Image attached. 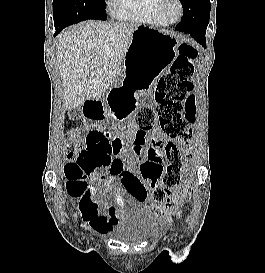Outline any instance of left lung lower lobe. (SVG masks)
Returning <instances> with one entry per match:
<instances>
[{
    "instance_id": "left-lung-lower-lobe-1",
    "label": "left lung lower lobe",
    "mask_w": 265,
    "mask_h": 273,
    "mask_svg": "<svg viewBox=\"0 0 265 273\" xmlns=\"http://www.w3.org/2000/svg\"><path fill=\"white\" fill-rule=\"evenodd\" d=\"M209 7L210 0H193L191 8L183 12L181 22L176 26L177 31L190 34L204 47H206L207 28L205 11Z\"/></svg>"
}]
</instances>
